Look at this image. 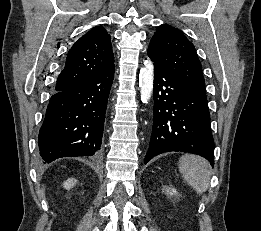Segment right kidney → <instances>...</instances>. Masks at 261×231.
<instances>
[{"mask_svg": "<svg viewBox=\"0 0 261 231\" xmlns=\"http://www.w3.org/2000/svg\"><path fill=\"white\" fill-rule=\"evenodd\" d=\"M76 182H77L76 179H74V178H69V179H67V180L64 182L63 186H64L65 189L69 190V189H71V188L76 184Z\"/></svg>", "mask_w": 261, "mask_h": 231, "instance_id": "obj_1", "label": "right kidney"}]
</instances>
